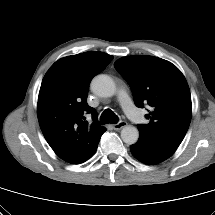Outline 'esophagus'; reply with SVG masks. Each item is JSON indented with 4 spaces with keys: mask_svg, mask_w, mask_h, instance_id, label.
I'll return each instance as SVG.
<instances>
[{
    "mask_svg": "<svg viewBox=\"0 0 215 215\" xmlns=\"http://www.w3.org/2000/svg\"><path fill=\"white\" fill-rule=\"evenodd\" d=\"M127 126V122L126 121H120L116 124L113 125V128L115 130H121L122 128L126 127Z\"/></svg>",
    "mask_w": 215,
    "mask_h": 215,
    "instance_id": "1",
    "label": "esophagus"
}]
</instances>
